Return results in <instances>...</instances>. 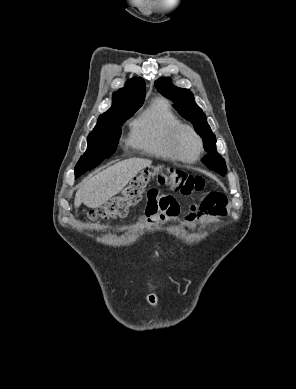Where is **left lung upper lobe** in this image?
<instances>
[{
    "mask_svg": "<svg viewBox=\"0 0 296 389\" xmlns=\"http://www.w3.org/2000/svg\"><path fill=\"white\" fill-rule=\"evenodd\" d=\"M155 87L162 95L173 100L178 113L188 119L193 124L197 134L203 138L204 148L209 154L203 157L202 162L209 169L224 176L227 167L224 159L216 151V137L212 133L202 109L195 103L192 92L185 88L175 87L169 78H159L155 81Z\"/></svg>",
    "mask_w": 296,
    "mask_h": 389,
    "instance_id": "5c2ea615",
    "label": "left lung upper lobe"
}]
</instances>
